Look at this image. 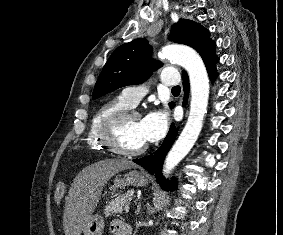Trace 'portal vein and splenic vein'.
Instances as JSON below:
<instances>
[{"instance_id":"obj_1","label":"portal vein and splenic vein","mask_w":283,"mask_h":235,"mask_svg":"<svg viewBox=\"0 0 283 235\" xmlns=\"http://www.w3.org/2000/svg\"><path fill=\"white\" fill-rule=\"evenodd\" d=\"M129 209H130V205L127 204V205L125 206L124 210H125V212L127 213V212H129Z\"/></svg>"}]
</instances>
